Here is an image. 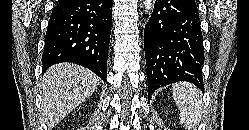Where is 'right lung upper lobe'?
<instances>
[{"label": "right lung upper lobe", "instance_id": "obj_1", "mask_svg": "<svg viewBox=\"0 0 249 130\" xmlns=\"http://www.w3.org/2000/svg\"><path fill=\"white\" fill-rule=\"evenodd\" d=\"M66 1H67V0H59V1H58V5L61 4V3L66 2Z\"/></svg>", "mask_w": 249, "mask_h": 130}]
</instances>
